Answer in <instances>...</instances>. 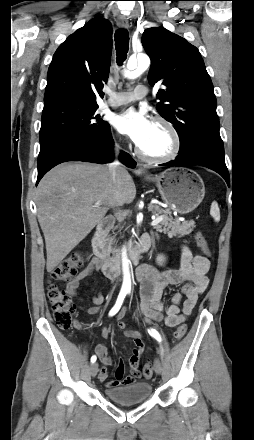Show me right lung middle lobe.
<instances>
[{"label": "right lung middle lobe", "mask_w": 254, "mask_h": 440, "mask_svg": "<svg viewBox=\"0 0 254 440\" xmlns=\"http://www.w3.org/2000/svg\"><path fill=\"white\" fill-rule=\"evenodd\" d=\"M97 103L61 98L44 104L38 165L59 147L77 145L105 134L108 123L96 115Z\"/></svg>", "instance_id": "obj_1"}]
</instances>
